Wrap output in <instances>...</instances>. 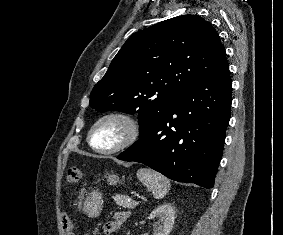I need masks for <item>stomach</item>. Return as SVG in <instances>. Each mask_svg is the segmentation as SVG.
<instances>
[{"instance_id": "0dacf381", "label": "stomach", "mask_w": 283, "mask_h": 235, "mask_svg": "<svg viewBox=\"0 0 283 235\" xmlns=\"http://www.w3.org/2000/svg\"><path fill=\"white\" fill-rule=\"evenodd\" d=\"M107 182L110 185H116L119 183V177L116 174H109L107 176ZM103 209L102 193L98 190L90 192L83 202V210L90 217L98 216Z\"/></svg>"}]
</instances>
